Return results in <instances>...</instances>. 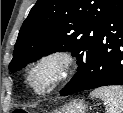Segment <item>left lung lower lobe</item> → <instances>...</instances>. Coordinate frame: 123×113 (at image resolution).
I'll return each mask as SVG.
<instances>
[{
  "label": "left lung lower lobe",
  "instance_id": "obj_1",
  "mask_svg": "<svg viewBox=\"0 0 123 113\" xmlns=\"http://www.w3.org/2000/svg\"><path fill=\"white\" fill-rule=\"evenodd\" d=\"M107 85H123V0H113L103 19L84 79L61 92V96Z\"/></svg>",
  "mask_w": 123,
  "mask_h": 113
}]
</instances>
